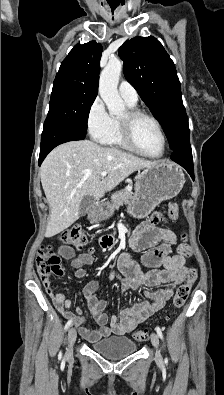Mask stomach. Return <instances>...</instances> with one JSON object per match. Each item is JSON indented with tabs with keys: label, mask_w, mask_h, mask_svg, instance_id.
<instances>
[{
	"label": "stomach",
	"mask_w": 224,
	"mask_h": 395,
	"mask_svg": "<svg viewBox=\"0 0 224 395\" xmlns=\"http://www.w3.org/2000/svg\"><path fill=\"white\" fill-rule=\"evenodd\" d=\"M185 183L181 168L170 161H159L146 167L138 174L135 193L128 203V212L135 218L148 216L164 200L175 197ZM108 205H101L92 214V220L99 222L110 217Z\"/></svg>",
	"instance_id": "1"
}]
</instances>
